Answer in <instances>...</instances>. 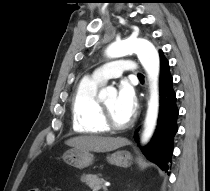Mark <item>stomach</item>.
<instances>
[{
    "mask_svg": "<svg viewBox=\"0 0 210 191\" xmlns=\"http://www.w3.org/2000/svg\"><path fill=\"white\" fill-rule=\"evenodd\" d=\"M94 156L87 150L71 149L63 155V160L76 168L83 169L90 166ZM110 164L127 168L132 164V157L127 151H117L107 157Z\"/></svg>",
    "mask_w": 210,
    "mask_h": 191,
    "instance_id": "1",
    "label": "stomach"
}]
</instances>
